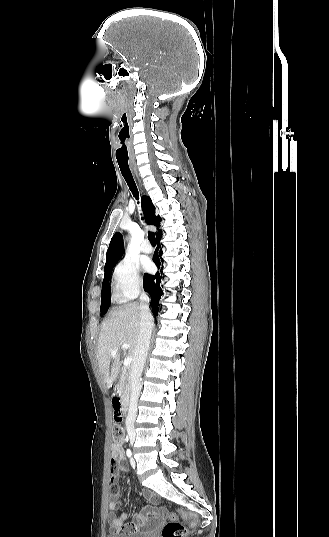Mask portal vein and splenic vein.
Segmentation results:
<instances>
[{
    "mask_svg": "<svg viewBox=\"0 0 329 537\" xmlns=\"http://www.w3.org/2000/svg\"><path fill=\"white\" fill-rule=\"evenodd\" d=\"M128 347H129V345H128L127 343H123V344H122V348H123V349H128ZM116 353H117V350H113V351L111 352V355H112V356H115ZM131 362H132V358H131V357H127V358L124 360V365H125V366H128V365L131 364Z\"/></svg>",
    "mask_w": 329,
    "mask_h": 537,
    "instance_id": "18ae733b",
    "label": "portal vein and splenic vein"
}]
</instances>
